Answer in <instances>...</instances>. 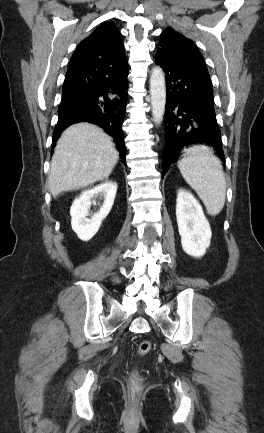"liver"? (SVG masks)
<instances>
[{
    "label": "liver",
    "mask_w": 264,
    "mask_h": 433,
    "mask_svg": "<svg viewBox=\"0 0 264 433\" xmlns=\"http://www.w3.org/2000/svg\"><path fill=\"white\" fill-rule=\"evenodd\" d=\"M119 153L102 129L89 123L67 128L54 149L49 176L53 197L109 177Z\"/></svg>",
    "instance_id": "liver-1"
}]
</instances>
